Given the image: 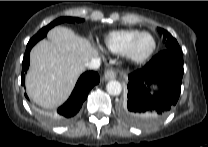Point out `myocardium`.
<instances>
[{
  "label": "myocardium",
  "mask_w": 208,
  "mask_h": 147,
  "mask_svg": "<svg viewBox=\"0 0 208 147\" xmlns=\"http://www.w3.org/2000/svg\"><path fill=\"white\" fill-rule=\"evenodd\" d=\"M146 35L150 36L153 39V47L147 54L143 56H137L135 54V47L138 41L140 40V38ZM156 49H157L156 37L151 32L142 31L130 41L123 55L129 62L134 63V64H141V63L148 61L153 56Z\"/></svg>",
  "instance_id": "1"
}]
</instances>
